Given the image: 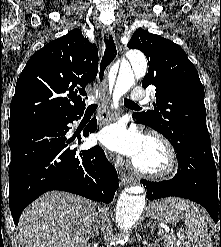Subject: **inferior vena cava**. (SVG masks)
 <instances>
[{
  "mask_svg": "<svg viewBox=\"0 0 221 247\" xmlns=\"http://www.w3.org/2000/svg\"><path fill=\"white\" fill-rule=\"evenodd\" d=\"M96 216H97V214H95V217H94V220H93L94 222H95V221L97 222V220H96Z\"/></svg>",
  "mask_w": 221,
  "mask_h": 247,
  "instance_id": "obj_1",
  "label": "inferior vena cava"
}]
</instances>
